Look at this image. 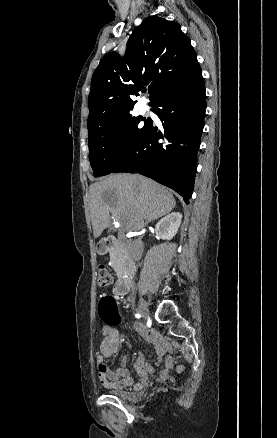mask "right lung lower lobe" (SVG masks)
I'll return each mask as SVG.
<instances>
[{"mask_svg":"<svg viewBox=\"0 0 277 438\" xmlns=\"http://www.w3.org/2000/svg\"><path fill=\"white\" fill-rule=\"evenodd\" d=\"M165 67L174 71L179 66L171 62ZM151 106L162 126L150 119L138 144L113 173L138 172L172 188L188 204L206 110L202 72L163 90Z\"/></svg>","mask_w":277,"mask_h":438,"instance_id":"obj_1","label":"right lung lower lobe"}]
</instances>
